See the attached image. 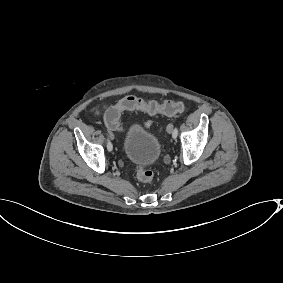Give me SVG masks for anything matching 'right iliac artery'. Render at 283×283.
I'll list each match as a JSON object with an SVG mask.
<instances>
[{
	"instance_id": "1",
	"label": "right iliac artery",
	"mask_w": 283,
	"mask_h": 283,
	"mask_svg": "<svg viewBox=\"0 0 283 283\" xmlns=\"http://www.w3.org/2000/svg\"><path fill=\"white\" fill-rule=\"evenodd\" d=\"M107 149H108L109 151H111V150L113 149V145H112V143H111V141H110L109 138L107 139Z\"/></svg>"
}]
</instances>
